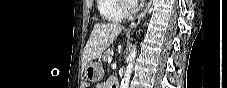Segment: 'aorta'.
<instances>
[{"mask_svg":"<svg viewBox=\"0 0 227 88\" xmlns=\"http://www.w3.org/2000/svg\"><path fill=\"white\" fill-rule=\"evenodd\" d=\"M136 53H137L136 46L133 45L132 50L130 51V54L127 58L128 64H127L123 79L121 81L120 88H128L129 87L130 77H131V74H132V71H133Z\"/></svg>","mask_w":227,"mask_h":88,"instance_id":"obj_1","label":"aorta"}]
</instances>
